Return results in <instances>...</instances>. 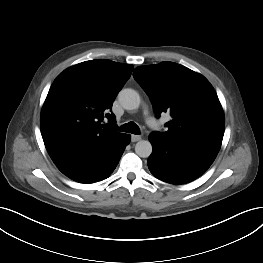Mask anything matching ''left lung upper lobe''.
Segmentation results:
<instances>
[{"mask_svg":"<svg viewBox=\"0 0 263 263\" xmlns=\"http://www.w3.org/2000/svg\"><path fill=\"white\" fill-rule=\"evenodd\" d=\"M133 76L150 97L157 117L170 113L172 120L162 133L221 146L224 113L214 88L204 76L168 61L139 66Z\"/></svg>","mask_w":263,"mask_h":263,"instance_id":"1","label":"left lung upper lobe"}]
</instances>
